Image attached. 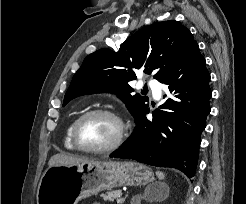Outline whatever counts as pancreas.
Returning a JSON list of instances; mask_svg holds the SVG:
<instances>
[{"mask_svg": "<svg viewBox=\"0 0 246 204\" xmlns=\"http://www.w3.org/2000/svg\"><path fill=\"white\" fill-rule=\"evenodd\" d=\"M121 195H122V191L116 190V191H110L107 193H103V194H101V197L104 201L112 202V201H114V199L119 198Z\"/></svg>", "mask_w": 246, "mask_h": 204, "instance_id": "cf45deb5", "label": "pancreas"}]
</instances>
